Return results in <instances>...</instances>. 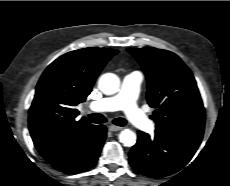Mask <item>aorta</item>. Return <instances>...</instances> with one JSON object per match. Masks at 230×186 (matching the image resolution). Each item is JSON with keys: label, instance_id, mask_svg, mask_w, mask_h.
<instances>
[{"label": "aorta", "instance_id": "obj_1", "mask_svg": "<svg viewBox=\"0 0 230 186\" xmlns=\"http://www.w3.org/2000/svg\"><path fill=\"white\" fill-rule=\"evenodd\" d=\"M98 86L105 95H113L119 90L120 80L117 75L106 73L100 77ZM136 139V133L129 129H124L119 134V141L126 147L133 146Z\"/></svg>", "mask_w": 230, "mask_h": 186}]
</instances>
